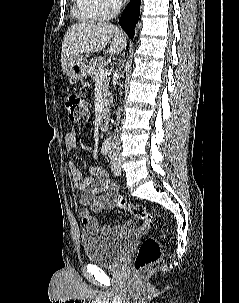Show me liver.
<instances>
[{
  "instance_id": "1",
  "label": "liver",
  "mask_w": 239,
  "mask_h": 303,
  "mask_svg": "<svg viewBox=\"0 0 239 303\" xmlns=\"http://www.w3.org/2000/svg\"><path fill=\"white\" fill-rule=\"evenodd\" d=\"M111 38L114 41L107 51L110 55L121 52L126 47L127 41L123 32L109 23L86 21L72 25L62 43L63 72H66L67 64L74 58L103 50Z\"/></svg>"
}]
</instances>
